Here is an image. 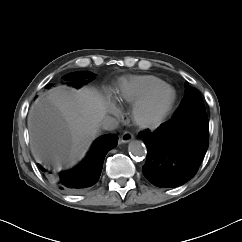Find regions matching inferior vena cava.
I'll use <instances>...</instances> for the list:
<instances>
[{
  "label": "inferior vena cava",
  "mask_w": 242,
  "mask_h": 242,
  "mask_svg": "<svg viewBox=\"0 0 242 242\" xmlns=\"http://www.w3.org/2000/svg\"><path fill=\"white\" fill-rule=\"evenodd\" d=\"M118 125L119 122L117 121V119L111 116L104 117L102 121V128L105 130H114L118 127Z\"/></svg>",
  "instance_id": "602c4592"
}]
</instances>
